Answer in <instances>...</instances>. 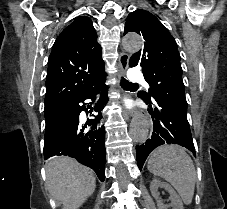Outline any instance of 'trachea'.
Returning a JSON list of instances; mask_svg holds the SVG:
<instances>
[{"instance_id": "3493384b", "label": "trachea", "mask_w": 227, "mask_h": 209, "mask_svg": "<svg viewBox=\"0 0 227 209\" xmlns=\"http://www.w3.org/2000/svg\"><path fill=\"white\" fill-rule=\"evenodd\" d=\"M121 86L124 89H128V88H131V87H138V84H133L132 82H129L128 80L122 78V80H121Z\"/></svg>"}]
</instances>
